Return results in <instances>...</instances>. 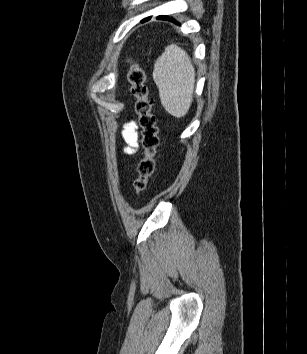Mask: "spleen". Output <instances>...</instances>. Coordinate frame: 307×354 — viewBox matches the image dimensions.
I'll return each instance as SVG.
<instances>
[{
    "label": "spleen",
    "mask_w": 307,
    "mask_h": 354,
    "mask_svg": "<svg viewBox=\"0 0 307 354\" xmlns=\"http://www.w3.org/2000/svg\"><path fill=\"white\" fill-rule=\"evenodd\" d=\"M153 79L165 110L177 118L185 116L195 83V69L188 54L175 44L167 46L155 62Z\"/></svg>",
    "instance_id": "obj_1"
}]
</instances>
